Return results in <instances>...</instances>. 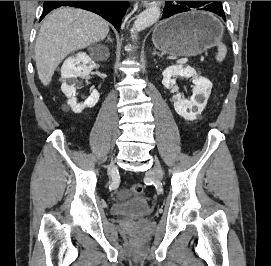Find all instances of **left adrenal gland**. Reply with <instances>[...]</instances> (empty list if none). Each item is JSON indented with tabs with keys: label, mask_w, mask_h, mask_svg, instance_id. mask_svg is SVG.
I'll return each mask as SVG.
<instances>
[{
	"label": "left adrenal gland",
	"mask_w": 271,
	"mask_h": 266,
	"mask_svg": "<svg viewBox=\"0 0 271 266\" xmlns=\"http://www.w3.org/2000/svg\"><path fill=\"white\" fill-rule=\"evenodd\" d=\"M153 56L157 55L158 57H162L161 54H159L156 49H154L153 53H152Z\"/></svg>",
	"instance_id": "obj_1"
}]
</instances>
